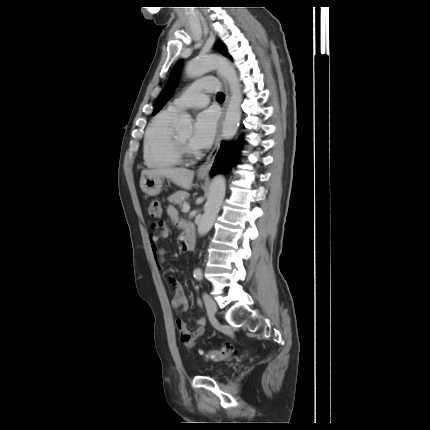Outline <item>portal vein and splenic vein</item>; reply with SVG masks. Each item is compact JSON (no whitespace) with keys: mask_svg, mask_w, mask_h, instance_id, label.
<instances>
[{"mask_svg":"<svg viewBox=\"0 0 430 430\" xmlns=\"http://www.w3.org/2000/svg\"><path fill=\"white\" fill-rule=\"evenodd\" d=\"M189 210H190L189 204L188 203H184L182 211L183 212H189Z\"/></svg>","mask_w":430,"mask_h":430,"instance_id":"18ae733b","label":"portal vein and splenic vein"}]
</instances>
